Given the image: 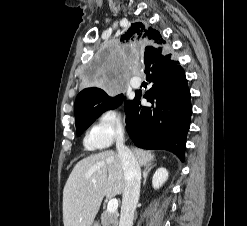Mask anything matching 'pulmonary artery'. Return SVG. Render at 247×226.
Masks as SVG:
<instances>
[{"label":"pulmonary artery","instance_id":"pulmonary-artery-1","mask_svg":"<svg viewBox=\"0 0 247 226\" xmlns=\"http://www.w3.org/2000/svg\"><path fill=\"white\" fill-rule=\"evenodd\" d=\"M131 85H132V87L137 88V87L139 86V83L133 81V82L131 83Z\"/></svg>","mask_w":247,"mask_h":226}]
</instances>
